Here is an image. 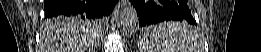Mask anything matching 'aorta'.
Masks as SVG:
<instances>
[{"label":"aorta","instance_id":"1","mask_svg":"<svg viewBox=\"0 0 261 52\" xmlns=\"http://www.w3.org/2000/svg\"><path fill=\"white\" fill-rule=\"evenodd\" d=\"M138 22L137 10L133 6H126L119 15L121 27H134Z\"/></svg>","mask_w":261,"mask_h":52}]
</instances>
